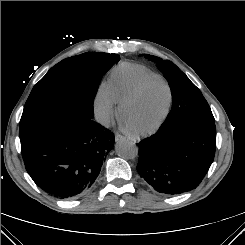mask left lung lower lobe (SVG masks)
I'll return each instance as SVG.
<instances>
[{
  "mask_svg": "<svg viewBox=\"0 0 245 245\" xmlns=\"http://www.w3.org/2000/svg\"><path fill=\"white\" fill-rule=\"evenodd\" d=\"M138 145L140 176L159 193L181 194L196 188L213 162L215 121L183 115Z\"/></svg>",
  "mask_w": 245,
  "mask_h": 245,
  "instance_id": "0a47b994",
  "label": "left lung lower lobe"
}]
</instances>
